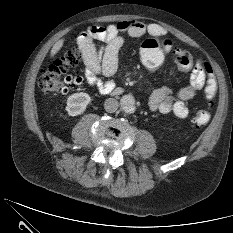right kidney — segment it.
<instances>
[{
    "instance_id": "ca27d5eb",
    "label": "right kidney",
    "mask_w": 233,
    "mask_h": 233,
    "mask_svg": "<svg viewBox=\"0 0 233 233\" xmlns=\"http://www.w3.org/2000/svg\"><path fill=\"white\" fill-rule=\"evenodd\" d=\"M90 102L91 98L87 93H74L68 97L66 111L70 116L80 115Z\"/></svg>"
}]
</instances>
